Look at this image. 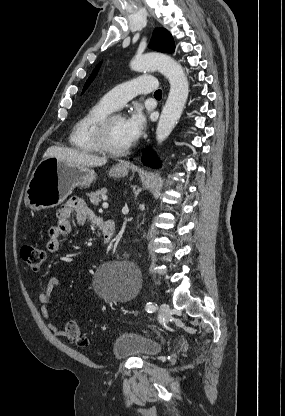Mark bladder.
Listing matches in <instances>:
<instances>
[{
  "instance_id": "31cf9c89",
  "label": "bladder",
  "mask_w": 285,
  "mask_h": 416,
  "mask_svg": "<svg viewBox=\"0 0 285 416\" xmlns=\"http://www.w3.org/2000/svg\"><path fill=\"white\" fill-rule=\"evenodd\" d=\"M161 349V343L148 338L147 335L123 333L117 336L112 354L117 358L149 359L156 357Z\"/></svg>"
}]
</instances>
